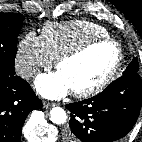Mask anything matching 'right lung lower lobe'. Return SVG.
Returning <instances> with one entry per match:
<instances>
[{
  "label": "right lung lower lobe",
  "mask_w": 142,
  "mask_h": 142,
  "mask_svg": "<svg viewBox=\"0 0 142 142\" xmlns=\"http://www.w3.org/2000/svg\"><path fill=\"white\" fill-rule=\"evenodd\" d=\"M42 101L30 85L15 74H0V142H20L27 115Z\"/></svg>",
  "instance_id": "98d812e1"
}]
</instances>
